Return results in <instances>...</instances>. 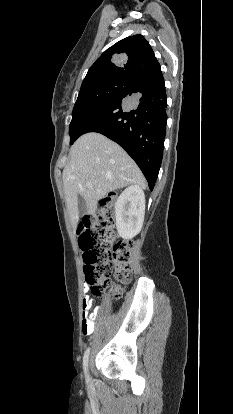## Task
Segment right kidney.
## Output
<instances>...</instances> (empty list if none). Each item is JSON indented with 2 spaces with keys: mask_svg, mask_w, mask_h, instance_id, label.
<instances>
[{
  "mask_svg": "<svg viewBox=\"0 0 233 414\" xmlns=\"http://www.w3.org/2000/svg\"><path fill=\"white\" fill-rule=\"evenodd\" d=\"M145 215V195L138 185L126 188L115 203L116 228L124 239L137 235L143 225Z\"/></svg>",
  "mask_w": 233,
  "mask_h": 414,
  "instance_id": "right-kidney-1",
  "label": "right kidney"
}]
</instances>
